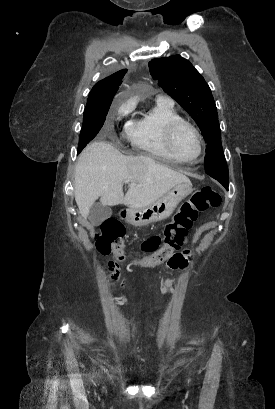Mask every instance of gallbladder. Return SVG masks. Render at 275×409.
I'll return each mask as SVG.
<instances>
[{
	"instance_id": "1",
	"label": "gallbladder",
	"mask_w": 275,
	"mask_h": 409,
	"mask_svg": "<svg viewBox=\"0 0 275 409\" xmlns=\"http://www.w3.org/2000/svg\"><path fill=\"white\" fill-rule=\"evenodd\" d=\"M111 215L112 209H109V207H103L101 202H94V205H92L89 211L88 219L93 227H98L103 221L109 219Z\"/></svg>"
}]
</instances>
